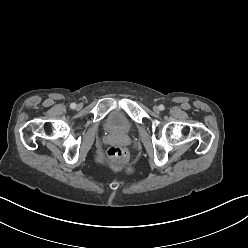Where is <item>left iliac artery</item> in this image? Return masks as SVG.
Here are the masks:
<instances>
[{"label": "left iliac artery", "instance_id": "left-iliac-artery-1", "mask_svg": "<svg viewBox=\"0 0 248 248\" xmlns=\"http://www.w3.org/2000/svg\"><path fill=\"white\" fill-rule=\"evenodd\" d=\"M159 109H160V110H164V105H160V106H159Z\"/></svg>", "mask_w": 248, "mask_h": 248}]
</instances>
